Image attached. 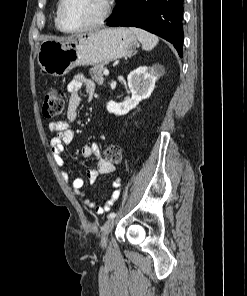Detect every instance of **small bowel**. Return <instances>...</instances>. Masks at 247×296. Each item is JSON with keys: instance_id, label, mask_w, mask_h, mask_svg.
I'll list each match as a JSON object with an SVG mask.
<instances>
[{"instance_id": "c3829d8e", "label": "small bowel", "mask_w": 247, "mask_h": 296, "mask_svg": "<svg viewBox=\"0 0 247 296\" xmlns=\"http://www.w3.org/2000/svg\"><path fill=\"white\" fill-rule=\"evenodd\" d=\"M82 86L85 87L89 98L94 95L96 90L95 83L82 74L74 75L67 84V91L69 93L67 121L51 122L48 126L49 131L54 134L50 140L51 155L56 165L61 169V175L65 180L70 179V173L65 169V161L63 159L64 146L70 144L74 138V132L69 127V122H73L78 118V109L82 101L79 90ZM81 154L84 158L95 157L97 161L96 166L88 171L87 179L90 184L95 183L100 175H107L113 172L114 166L102 158L100 147L97 144L84 145L81 149ZM83 185L84 180L80 177L71 180V189L79 196L81 202L85 206L92 208L95 214L101 215L107 212L118 198L121 184L119 180L113 182L111 199L103 205H98L95 201L88 198L82 191Z\"/></svg>"}]
</instances>
